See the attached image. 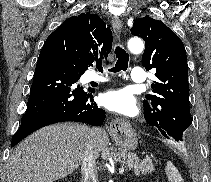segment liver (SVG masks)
Returning a JSON list of instances; mask_svg holds the SVG:
<instances>
[{"instance_id": "obj_1", "label": "liver", "mask_w": 211, "mask_h": 182, "mask_svg": "<svg viewBox=\"0 0 211 182\" xmlns=\"http://www.w3.org/2000/svg\"><path fill=\"white\" fill-rule=\"evenodd\" d=\"M95 130L94 149L109 143L101 128L76 123L44 127L25 138L7 162V182H54L73 173L81 164L90 133Z\"/></svg>"}]
</instances>
